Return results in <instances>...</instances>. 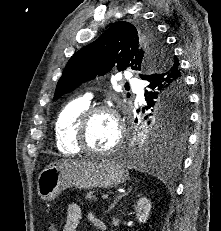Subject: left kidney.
<instances>
[{
    "instance_id": "5707ae66",
    "label": "left kidney",
    "mask_w": 221,
    "mask_h": 231,
    "mask_svg": "<svg viewBox=\"0 0 221 231\" xmlns=\"http://www.w3.org/2000/svg\"><path fill=\"white\" fill-rule=\"evenodd\" d=\"M136 219L140 223H146L151 210V202L148 198H140L134 207Z\"/></svg>"
}]
</instances>
